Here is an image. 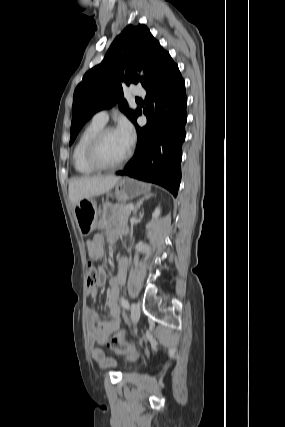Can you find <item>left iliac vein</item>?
Instances as JSON below:
<instances>
[{
    "mask_svg": "<svg viewBox=\"0 0 285 427\" xmlns=\"http://www.w3.org/2000/svg\"><path fill=\"white\" fill-rule=\"evenodd\" d=\"M140 318V306L137 303L131 305V320L136 324Z\"/></svg>",
    "mask_w": 285,
    "mask_h": 427,
    "instance_id": "1",
    "label": "left iliac vein"
}]
</instances>
